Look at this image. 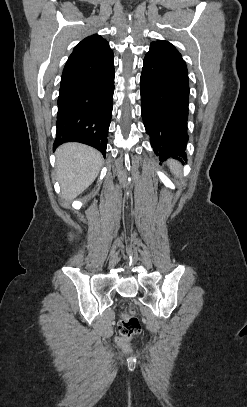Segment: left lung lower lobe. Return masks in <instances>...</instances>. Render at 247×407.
<instances>
[{"label":"left lung lower lobe","mask_w":247,"mask_h":407,"mask_svg":"<svg viewBox=\"0 0 247 407\" xmlns=\"http://www.w3.org/2000/svg\"><path fill=\"white\" fill-rule=\"evenodd\" d=\"M141 114L161 161L186 158L189 81L182 58L149 50L140 78Z\"/></svg>","instance_id":"1"}]
</instances>
